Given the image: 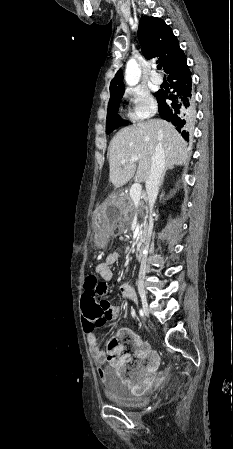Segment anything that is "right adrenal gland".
I'll return each instance as SVG.
<instances>
[{
	"label": "right adrenal gland",
	"instance_id": "obj_1",
	"mask_svg": "<svg viewBox=\"0 0 233 449\" xmlns=\"http://www.w3.org/2000/svg\"><path fill=\"white\" fill-rule=\"evenodd\" d=\"M168 169H172V168H171V167H168V166L165 168V170H164V172H163V174H162V176H161L160 187H161V185L163 184L164 176H165L166 171H167Z\"/></svg>",
	"mask_w": 233,
	"mask_h": 449
}]
</instances>
